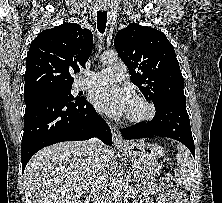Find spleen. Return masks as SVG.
Instances as JSON below:
<instances>
[{
  "label": "spleen",
  "instance_id": "1",
  "mask_svg": "<svg viewBox=\"0 0 222 203\" xmlns=\"http://www.w3.org/2000/svg\"><path fill=\"white\" fill-rule=\"evenodd\" d=\"M177 149L176 160L180 166L175 172V177L179 184L188 190L195 178L194 162L190 152L184 145L179 144Z\"/></svg>",
  "mask_w": 222,
  "mask_h": 203
}]
</instances>
